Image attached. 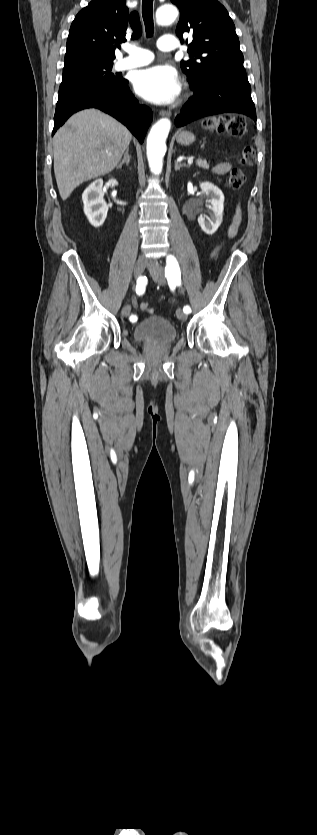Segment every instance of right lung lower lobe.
I'll return each mask as SVG.
<instances>
[{"mask_svg":"<svg viewBox=\"0 0 317 835\" xmlns=\"http://www.w3.org/2000/svg\"><path fill=\"white\" fill-rule=\"evenodd\" d=\"M127 84V80L120 84L95 83L60 93L52 136L73 113L94 107L119 120L142 143L152 121V111L139 104Z\"/></svg>","mask_w":317,"mask_h":835,"instance_id":"obj_1","label":"right lung lower lobe"}]
</instances>
